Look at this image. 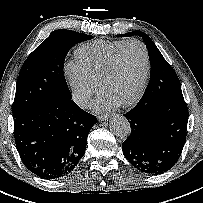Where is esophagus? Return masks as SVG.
I'll use <instances>...</instances> for the list:
<instances>
[{"instance_id": "1", "label": "esophagus", "mask_w": 203, "mask_h": 203, "mask_svg": "<svg viewBox=\"0 0 203 203\" xmlns=\"http://www.w3.org/2000/svg\"><path fill=\"white\" fill-rule=\"evenodd\" d=\"M109 117H110L109 115H100L97 118H98V121L102 122V121L108 120Z\"/></svg>"}]
</instances>
